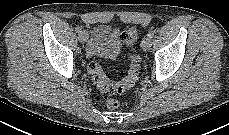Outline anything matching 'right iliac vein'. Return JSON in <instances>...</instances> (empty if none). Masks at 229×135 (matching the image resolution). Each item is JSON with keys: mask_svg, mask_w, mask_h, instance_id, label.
Segmentation results:
<instances>
[{"mask_svg": "<svg viewBox=\"0 0 229 135\" xmlns=\"http://www.w3.org/2000/svg\"><path fill=\"white\" fill-rule=\"evenodd\" d=\"M89 38L88 32L82 31L78 35V39L81 43H85Z\"/></svg>", "mask_w": 229, "mask_h": 135, "instance_id": "obj_1", "label": "right iliac vein"}]
</instances>
